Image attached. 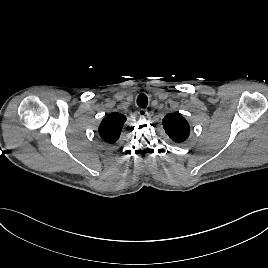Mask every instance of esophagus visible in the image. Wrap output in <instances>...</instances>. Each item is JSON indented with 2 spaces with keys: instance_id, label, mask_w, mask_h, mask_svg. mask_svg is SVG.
<instances>
[{
  "instance_id": "esophagus-1",
  "label": "esophagus",
  "mask_w": 268,
  "mask_h": 268,
  "mask_svg": "<svg viewBox=\"0 0 268 268\" xmlns=\"http://www.w3.org/2000/svg\"><path fill=\"white\" fill-rule=\"evenodd\" d=\"M137 114H138V116H139L140 118H144V117L147 115V111H146L145 109L141 108V109H139V110L137 111Z\"/></svg>"
}]
</instances>
